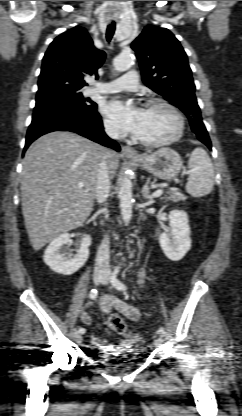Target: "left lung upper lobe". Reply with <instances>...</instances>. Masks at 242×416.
Returning <instances> with one entry per match:
<instances>
[{
  "label": "left lung upper lobe",
  "instance_id": "1",
  "mask_svg": "<svg viewBox=\"0 0 242 416\" xmlns=\"http://www.w3.org/2000/svg\"><path fill=\"white\" fill-rule=\"evenodd\" d=\"M131 47L136 52L145 85L185 113L200 141L209 138L187 55L176 37L166 28L146 26Z\"/></svg>",
  "mask_w": 242,
  "mask_h": 416
}]
</instances>
